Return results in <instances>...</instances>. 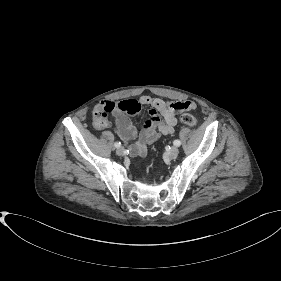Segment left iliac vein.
<instances>
[{"mask_svg": "<svg viewBox=\"0 0 281 281\" xmlns=\"http://www.w3.org/2000/svg\"><path fill=\"white\" fill-rule=\"evenodd\" d=\"M179 153V150L176 146H173L169 151H168V156L169 158L173 159L176 158Z\"/></svg>", "mask_w": 281, "mask_h": 281, "instance_id": "1", "label": "left iliac vein"}]
</instances>
